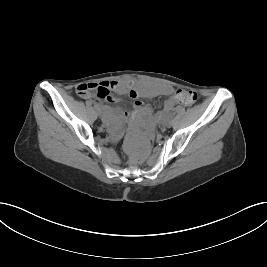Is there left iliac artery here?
Listing matches in <instances>:
<instances>
[{"label": "left iliac artery", "mask_w": 267, "mask_h": 267, "mask_svg": "<svg viewBox=\"0 0 267 267\" xmlns=\"http://www.w3.org/2000/svg\"><path fill=\"white\" fill-rule=\"evenodd\" d=\"M172 120V117L171 116H167L166 118H165V121H171Z\"/></svg>", "instance_id": "1"}]
</instances>
